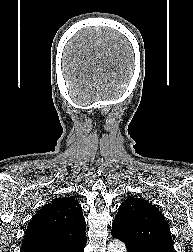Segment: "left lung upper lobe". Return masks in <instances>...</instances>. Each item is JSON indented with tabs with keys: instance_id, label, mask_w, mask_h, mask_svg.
<instances>
[{
	"instance_id": "5c2ea615",
	"label": "left lung upper lobe",
	"mask_w": 193,
	"mask_h": 252,
	"mask_svg": "<svg viewBox=\"0 0 193 252\" xmlns=\"http://www.w3.org/2000/svg\"><path fill=\"white\" fill-rule=\"evenodd\" d=\"M111 234L125 243L128 252H174L167 221L155 206L140 198L128 197L120 205Z\"/></svg>"
}]
</instances>
